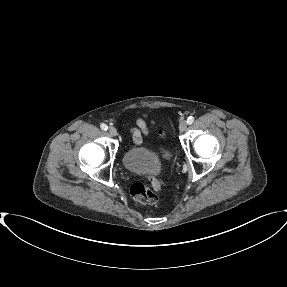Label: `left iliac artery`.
Listing matches in <instances>:
<instances>
[{"mask_svg":"<svg viewBox=\"0 0 287 287\" xmlns=\"http://www.w3.org/2000/svg\"><path fill=\"white\" fill-rule=\"evenodd\" d=\"M193 122H194V117H192V116L188 117L187 123L190 125V124H192Z\"/></svg>","mask_w":287,"mask_h":287,"instance_id":"obj_1","label":"left iliac artery"}]
</instances>
